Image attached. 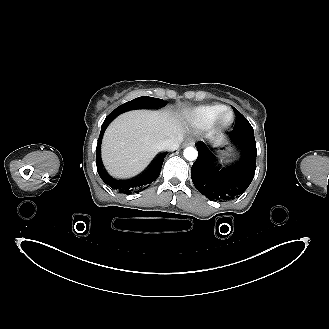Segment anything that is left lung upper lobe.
<instances>
[{
	"instance_id": "5c2ea615",
	"label": "left lung upper lobe",
	"mask_w": 329,
	"mask_h": 329,
	"mask_svg": "<svg viewBox=\"0 0 329 329\" xmlns=\"http://www.w3.org/2000/svg\"><path fill=\"white\" fill-rule=\"evenodd\" d=\"M234 112L236 114V122L234 125V129H249L252 128L248 120L236 109L234 108Z\"/></svg>"
}]
</instances>
